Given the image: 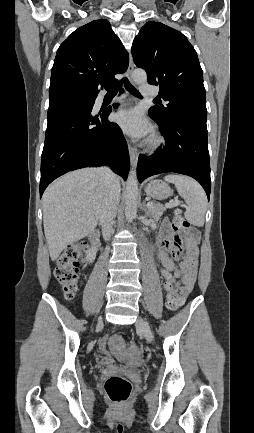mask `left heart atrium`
Listing matches in <instances>:
<instances>
[{"mask_svg":"<svg viewBox=\"0 0 254 433\" xmlns=\"http://www.w3.org/2000/svg\"><path fill=\"white\" fill-rule=\"evenodd\" d=\"M116 120L126 133L134 137L145 136L150 131V126L139 109L120 111Z\"/></svg>","mask_w":254,"mask_h":433,"instance_id":"obj_1","label":"left heart atrium"}]
</instances>
